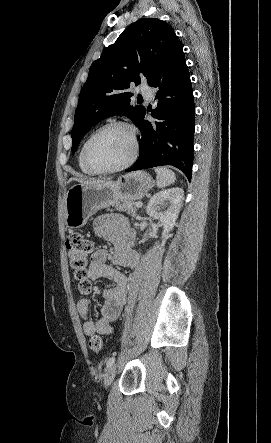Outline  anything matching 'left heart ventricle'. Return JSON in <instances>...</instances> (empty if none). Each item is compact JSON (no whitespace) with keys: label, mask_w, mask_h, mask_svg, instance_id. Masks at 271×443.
<instances>
[{"label":"left heart ventricle","mask_w":271,"mask_h":443,"mask_svg":"<svg viewBox=\"0 0 271 443\" xmlns=\"http://www.w3.org/2000/svg\"><path fill=\"white\" fill-rule=\"evenodd\" d=\"M132 151L129 132L112 127L100 134L90 148L91 161L101 168H111L125 162Z\"/></svg>","instance_id":"1"}]
</instances>
